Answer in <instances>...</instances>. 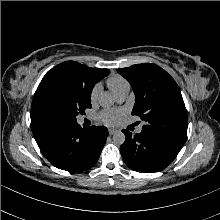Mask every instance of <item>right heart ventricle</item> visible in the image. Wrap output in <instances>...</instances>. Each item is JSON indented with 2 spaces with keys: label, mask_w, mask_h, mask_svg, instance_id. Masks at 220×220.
Returning a JSON list of instances; mask_svg holds the SVG:
<instances>
[{
  "label": "right heart ventricle",
  "mask_w": 220,
  "mask_h": 220,
  "mask_svg": "<svg viewBox=\"0 0 220 220\" xmlns=\"http://www.w3.org/2000/svg\"><path fill=\"white\" fill-rule=\"evenodd\" d=\"M107 85L114 94H117L122 89L129 87L128 82L119 75L110 76L107 79Z\"/></svg>",
  "instance_id": "right-heart-ventricle-1"
}]
</instances>
